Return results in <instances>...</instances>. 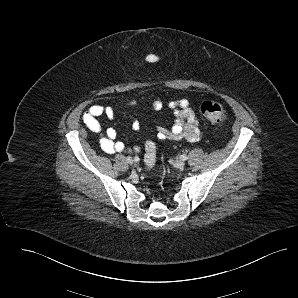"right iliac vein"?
<instances>
[{"instance_id":"1","label":"right iliac vein","mask_w":298,"mask_h":298,"mask_svg":"<svg viewBox=\"0 0 298 298\" xmlns=\"http://www.w3.org/2000/svg\"><path fill=\"white\" fill-rule=\"evenodd\" d=\"M126 161L128 164H132L134 162V160L131 157H127Z\"/></svg>"}]
</instances>
